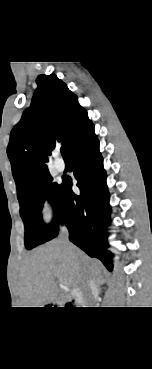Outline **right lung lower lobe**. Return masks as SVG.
Segmentation results:
<instances>
[{
    "label": "right lung lower lobe",
    "mask_w": 152,
    "mask_h": 369,
    "mask_svg": "<svg viewBox=\"0 0 152 369\" xmlns=\"http://www.w3.org/2000/svg\"><path fill=\"white\" fill-rule=\"evenodd\" d=\"M69 157L80 194L72 191V179L64 177L57 206L59 221L68 227L71 242L89 256L100 259L111 271L112 255L106 249V227L109 225L111 212L109 192L94 129L73 146ZM58 233L59 225L53 238Z\"/></svg>",
    "instance_id": "right-lung-lower-lobe-1"
}]
</instances>
